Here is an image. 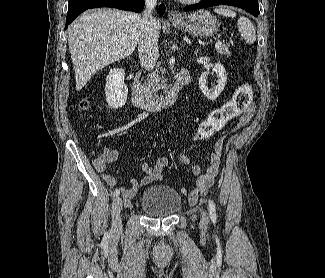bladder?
<instances>
[{"label": "bladder", "mask_w": 325, "mask_h": 278, "mask_svg": "<svg viewBox=\"0 0 325 278\" xmlns=\"http://www.w3.org/2000/svg\"><path fill=\"white\" fill-rule=\"evenodd\" d=\"M180 194L172 187L153 185L144 190L140 207L150 217H168L181 208Z\"/></svg>", "instance_id": "bladder-1"}]
</instances>
